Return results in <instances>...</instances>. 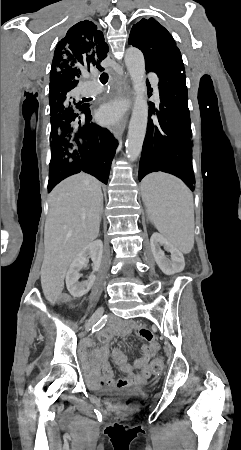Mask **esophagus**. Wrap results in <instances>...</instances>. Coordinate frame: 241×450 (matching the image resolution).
Instances as JSON below:
<instances>
[{"mask_svg":"<svg viewBox=\"0 0 241 450\" xmlns=\"http://www.w3.org/2000/svg\"><path fill=\"white\" fill-rule=\"evenodd\" d=\"M113 75L115 77V87L116 89H113L112 95L113 97L117 98H123L125 96L126 91L128 90V81L120 79L118 75L113 72ZM112 132L114 134V137L117 139L120 138L121 132L123 130V123L122 121L118 122L117 124L112 126Z\"/></svg>","mask_w":241,"mask_h":450,"instance_id":"34e87169","label":"esophagus"}]
</instances>
